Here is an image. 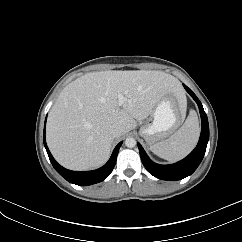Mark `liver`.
Listing matches in <instances>:
<instances>
[{"label":"liver","mask_w":242,"mask_h":242,"mask_svg":"<svg viewBox=\"0 0 242 242\" xmlns=\"http://www.w3.org/2000/svg\"><path fill=\"white\" fill-rule=\"evenodd\" d=\"M170 93L186 105L180 82L162 71L87 73L69 83L52 106L46 128L49 149L68 169L100 167L115 139L111 127L120 126L123 134L131 131ZM118 94L126 99L121 106Z\"/></svg>","instance_id":"1"}]
</instances>
